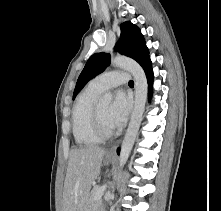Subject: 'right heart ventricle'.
<instances>
[{"mask_svg": "<svg viewBox=\"0 0 221 211\" xmlns=\"http://www.w3.org/2000/svg\"><path fill=\"white\" fill-rule=\"evenodd\" d=\"M102 91L88 84L78 95L72 111V131L80 146H93L100 142L92 124V111Z\"/></svg>", "mask_w": 221, "mask_h": 211, "instance_id": "1", "label": "right heart ventricle"}]
</instances>
